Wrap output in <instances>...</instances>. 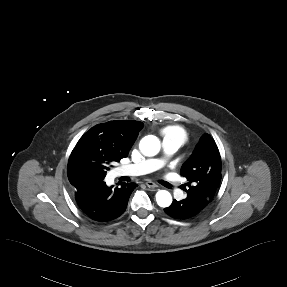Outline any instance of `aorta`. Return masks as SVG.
I'll use <instances>...</instances> for the list:
<instances>
[{
    "mask_svg": "<svg viewBox=\"0 0 287 287\" xmlns=\"http://www.w3.org/2000/svg\"><path fill=\"white\" fill-rule=\"evenodd\" d=\"M140 151L145 156H155L160 151V141L154 135H148L141 139ZM156 202L160 207H169L172 203V196L167 190H159L156 193Z\"/></svg>",
    "mask_w": 287,
    "mask_h": 287,
    "instance_id": "aorta-1",
    "label": "aorta"
}]
</instances>
